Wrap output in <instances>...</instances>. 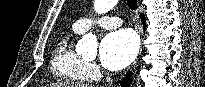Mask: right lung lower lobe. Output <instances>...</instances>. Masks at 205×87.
I'll return each mask as SVG.
<instances>
[{"mask_svg": "<svg viewBox=\"0 0 205 87\" xmlns=\"http://www.w3.org/2000/svg\"><path fill=\"white\" fill-rule=\"evenodd\" d=\"M140 17H141L142 23H143V25H144V27H145V17H144L143 14H141ZM131 76H132V74L127 73V74H126V78H124V79L122 80V82H121V86H123V87H129V85H130V83H131Z\"/></svg>", "mask_w": 205, "mask_h": 87, "instance_id": "98d812e1", "label": "right lung lower lobe"}]
</instances>
